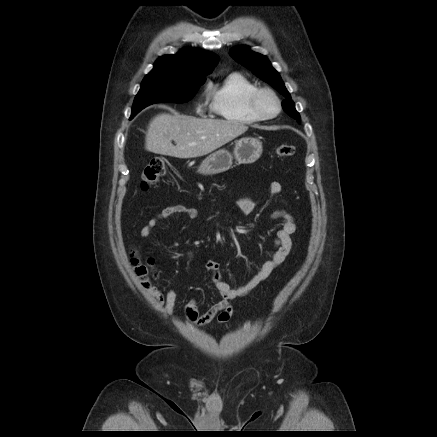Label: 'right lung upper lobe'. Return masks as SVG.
Listing matches in <instances>:
<instances>
[{"label":"right lung upper lobe","mask_w":437,"mask_h":437,"mask_svg":"<svg viewBox=\"0 0 437 437\" xmlns=\"http://www.w3.org/2000/svg\"><path fill=\"white\" fill-rule=\"evenodd\" d=\"M218 61L219 57L211 52L184 49L176 55L159 57L150 73H165L185 81H197L206 79Z\"/></svg>","instance_id":"right-lung-upper-lobe-1"}]
</instances>
